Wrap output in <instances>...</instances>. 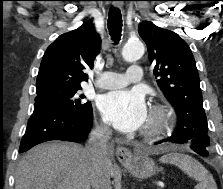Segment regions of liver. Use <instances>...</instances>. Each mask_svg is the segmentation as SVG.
<instances>
[{"label":"liver","mask_w":223,"mask_h":189,"mask_svg":"<svg viewBox=\"0 0 223 189\" xmlns=\"http://www.w3.org/2000/svg\"><path fill=\"white\" fill-rule=\"evenodd\" d=\"M91 160L86 149L71 142H48L23 156L15 189H90ZM109 175H114L111 161Z\"/></svg>","instance_id":"6515ba94"}]
</instances>
